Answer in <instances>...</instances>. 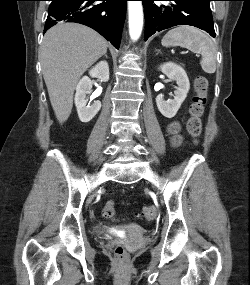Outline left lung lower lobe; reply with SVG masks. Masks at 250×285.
Masks as SVG:
<instances>
[{
    "label": "left lung lower lobe",
    "mask_w": 250,
    "mask_h": 285,
    "mask_svg": "<svg viewBox=\"0 0 250 285\" xmlns=\"http://www.w3.org/2000/svg\"><path fill=\"white\" fill-rule=\"evenodd\" d=\"M154 1H163L155 4ZM212 0H142L145 14V40L155 32L176 25H191L215 37Z\"/></svg>",
    "instance_id": "left-lung-lower-lobe-1"
}]
</instances>
